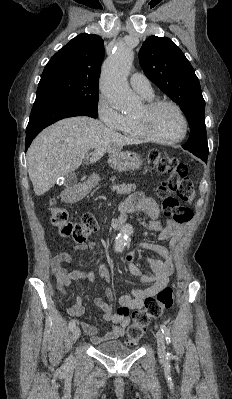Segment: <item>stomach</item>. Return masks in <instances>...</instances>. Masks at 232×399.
<instances>
[{"label": "stomach", "mask_w": 232, "mask_h": 399, "mask_svg": "<svg viewBox=\"0 0 232 399\" xmlns=\"http://www.w3.org/2000/svg\"><path fill=\"white\" fill-rule=\"evenodd\" d=\"M142 158L135 154V152H116V154H111L108 164L113 168V170H118V172H127V170H139L142 166ZM98 176H91L89 182L85 184V192H89L95 184H98ZM79 200L83 198L84 192H79Z\"/></svg>", "instance_id": "obj_1"}]
</instances>
